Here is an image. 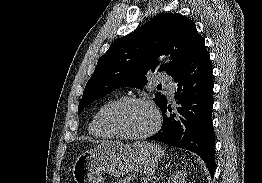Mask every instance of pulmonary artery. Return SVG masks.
Returning a JSON list of instances; mask_svg holds the SVG:
<instances>
[{"mask_svg":"<svg viewBox=\"0 0 262 183\" xmlns=\"http://www.w3.org/2000/svg\"><path fill=\"white\" fill-rule=\"evenodd\" d=\"M160 81L165 85L168 94L170 96L171 99H173L174 96V91H175V83L173 81H171L169 78L167 77H162L160 78Z\"/></svg>","mask_w":262,"mask_h":183,"instance_id":"obj_1","label":"pulmonary artery"}]
</instances>
